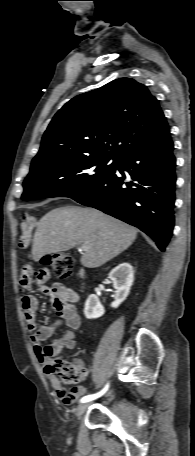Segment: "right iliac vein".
Listing matches in <instances>:
<instances>
[{
    "label": "right iliac vein",
    "instance_id": "1",
    "mask_svg": "<svg viewBox=\"0 0 195 456\" xmlns=\"http://www.w3.org/2000/svg\"><path fill=\"white\" fill-rule=\"evenodd\" d=\"M87 407H88V403H82V404L78 405V407L76 408L75 415L77 417H80L86 411Z\"/></svg>",
    "mask_w": 195,
    "mask_h": 456
}]
</instances>
